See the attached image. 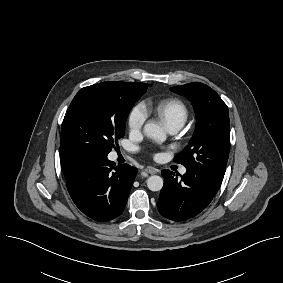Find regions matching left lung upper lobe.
<instances>
[{
    "label": "left lung upper lobe",
    "mask_w": 283,
    "mask_h": 283,
    "mask_svg": "<svg viewBox=\"0 0 283 283\" xmlns=\"http://www.w3.org/2000/svg\"><path fill=\"white\" fill-rule=\"evenodd\" d=\"M171 91L186 96L197 115L196 130L188 144L175 157L188 170L220 186L229 156L230 121L227 105L209 86L189 83Z\"/></svg>",
    "instance_id": "1"
}]
</instances>
